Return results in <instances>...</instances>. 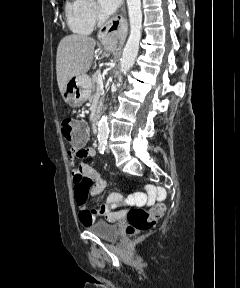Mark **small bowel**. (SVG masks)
<instances>
[{
  "label": "small bowel",
  "instance_id": "obj_1",
  "mask_svg": "<svg viewBox=\"0 0 240 288\" xmlns=\"http://www.w3.org/2000/svg\"><path fill=\"white\" fill-rule=\"evenodd\" d=\"M88 132L83 141L72 143L68 150V158L71 164H75L77 159L91 158L95 156V149L87 147ZM74 182V196L79 209V219L84 226L94 223L99 215H103L110 222L122 219L125 211L120 209L122 206L131 202L130 198H123L118 192L109 195L105 204L99 209H90L88 198L99 196L106 187V182L90 163H80L72 172Z\"/></svg>",
  "mask_w": 240,
  "mask_h": 288
}]
</instances>
